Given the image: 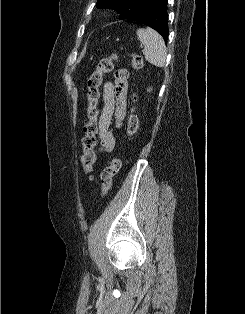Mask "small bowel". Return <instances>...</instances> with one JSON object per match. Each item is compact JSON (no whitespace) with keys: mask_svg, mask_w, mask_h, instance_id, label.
I'll list each match as a JSON object with an SVG mask.
<instances>
[{"mask_svg":"<svg viewBox=\"0 0 245 314\" xmlns=\"http://www.w3.org/2000/svg\"><path fill=\"white\" fill-rule=\"evenodd\" d=\"M128 78V70L118 69L114 73L113 80L103 85L104 106L97 119L100 151L111 152L116 146V136L110 126L121 129L124 125Z\"/></svg>","mask_w":245,"mask_h":314,"instance_id":"1","label":"small bowel"}]
</instances>
